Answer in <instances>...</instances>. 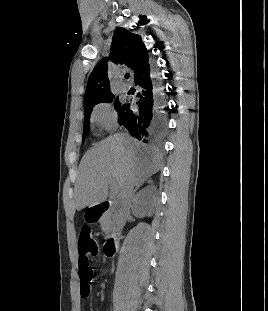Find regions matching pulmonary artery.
<instances>
[{
	"label": "pulmonary artery",
	"mask_w": 268,
	"mask_h": 311,
	"mask_svg": "<svg viewBox=\"0 0 268 311\" xmlns=\"http://www.w3.org/2000/svg\"><path fill=\"white\" fill-rule=\"evenodd\" d=\"M119 89H120L121 91H126V90H127V85L124 84V83H120Z\"/></svg>",
	"instance_id": "1"
}]
</instances>
